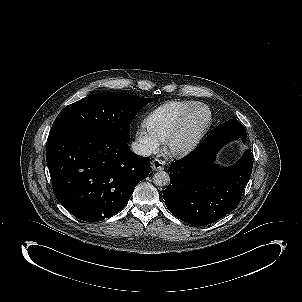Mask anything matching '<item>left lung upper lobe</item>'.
Returning <instances> with one entry per match:
<instances>
[{"mask_svg":"<svg viewBox=\"0 0 302 302\" xmlns=\"http://www.w3.org/2000/svg\"><path fill=\"white\" fill-rule=\"evenodd\" d=\"M209 135V139L211 141H216L220 146L237 138L243 140L247 138L244 126L236 119H230L224 122L215 128Z\"/></svg>","mask_w":302,"mask_h":302,"instance_id":"left-lung-upper-lobe-1","label":"left lung upper lobe"}]
</instances>
